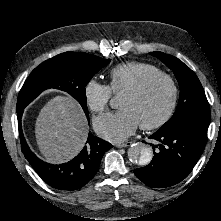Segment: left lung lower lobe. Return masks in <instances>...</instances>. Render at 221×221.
I'll return each mask as SVG.
<instances>
[{
	"label": "left lung lower lobe",
	"mask_w": 221,
	"mask_h": 221,
	"mask_svg": "<svg viewBox=\"0 0 221 221\" xmlns=\"http://www.w3.org/2000/svg\"><path fill=\"white\" fill-rule=\"evenodd\" d=\"M207 130L186 126L174 132L157 131L149 138L160 144L153 145L154 157L150 164L134 170L135 175L149 187L163 188L185 179L203 153Z\"/></svg>",
	"instance_id": "left-lung-lower-lobe-1"
}]
</instances>
